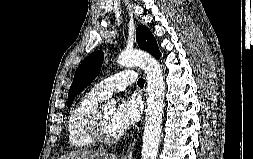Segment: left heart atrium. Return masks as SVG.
Segmentation results:
<instances>
[{
    "mask_svg": "<svg viewBox=\"0 0 253 159\" xmlns=\"http://www.w3.org/2000/svg\"><path fill=\"white\" fill-rule=\"evenodd\" d=\"M142 112L141 102L136 97L125 98L114 112V125L119 135L132 128L139 120Z\"/></svg>",
    "mask_w": 253,
    "mask_h": 159,
    "instance_id": "1",
    "label": "left heart atrium"
}]
</instances>
